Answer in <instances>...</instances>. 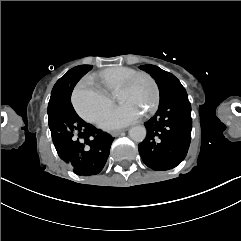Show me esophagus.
I'll use <instances>...</instances> for the list:
<instances>
[{
  "instance_id": "esophagus-1",
  "label": "esophagus",
  "mask_w": 241,
  "mask_h": 241,
  "mask_svg": "<svg viewBox=\"0 0 241 241\" xmlns=\"http://www.w3.org/2000/svg\"><path fill=\"white\" fill-rule=\"evenodd\" d=\"M125 130H115V131H113L112 133H111V136H113V137H117V136H119L121 133H123Z\"/></svg>"
}]
</instances>
